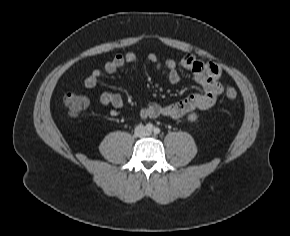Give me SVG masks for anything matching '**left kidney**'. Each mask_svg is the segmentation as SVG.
Segmentation results:
<instances>
[{"instance_id":"1","label":"left kidney","mask_w":290,"mask_h":236,"mask_svg":"<svg viewBox=\"0 0 290 236\" xmlns=\"http://www.w3.org/2000/svg\"><path fill=\"white\" fill-rule=\"evenodd\" d=\"M196 119H197V115H196L195 113L190 114V115L188 116V120H190V121H195Z\"/></svg>"}]
</instances>
